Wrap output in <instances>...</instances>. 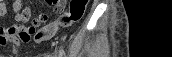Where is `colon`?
<instances>
[{
	"mask_svg": "<svg viewBox=\"0 0 172 57\" xmlns=\"http://www.w3.org/2000/svg\"><path fill=\"white\" fill-rule=\"evenodd\" d=\"M52 1L57 5H62L65 2L63 0ZM87 3L88 0H71L68 9L59 16L57 22L48 24L39 36L44 39H50L55 35L58 28H66L78 22L84 15ZM26 13L27 10L25 9L23 14Z\"/></svg>",
	"mask_w": 172,
	"mask_h": 57,
	"instance_id": "colon-1",
	"label": "colon"
}]
</instances>
